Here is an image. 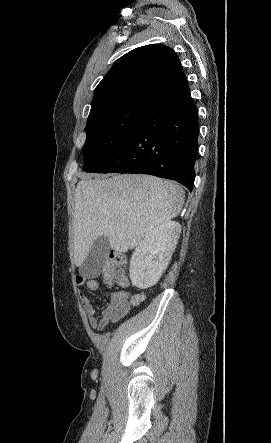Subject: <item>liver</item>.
Returning a JSON list of instances; mask_svg holds the SVG:
<instances>
[{
    "mask_svg": "<svg viewBox=\"0 0 271 443\" xmlns=\"http://www.w3.org/2000/svg\"><path fill=\"white\" fill-rule=\"evenodd\" d=\"M111 176V178H109ZM85 174L75 190L74 263L82 265L95 239L108 237L112 249L136 247L156 225L179 216L184 190L155 176Z\"/></svg>",
    "mask_w": 271,
    "mask_h": 443,
    "instance_id": "1",
    "label": "liver"
}]
</instances>
